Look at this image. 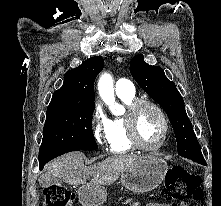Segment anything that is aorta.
<instances>
[{"instance_id": "762f6f07", "label": "aorta", "mask_w": 221, "mask_h": 206, "mask_svg": "<svg viewBox=\"0 0 221 206\" xmlns=\"http://www.w3.org/2000/svg\"><path fill=\"white\" fill-rule=\"evenodd\" d=\"M98 91L110 111L115 115L120 114L122 109L115 101L113 78L110 74L104 73L101 75L98 81Z\"/></svg>"}]
</instances>
